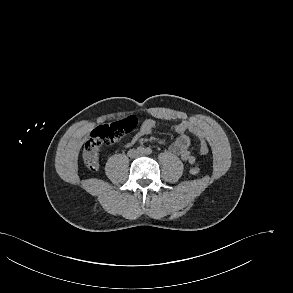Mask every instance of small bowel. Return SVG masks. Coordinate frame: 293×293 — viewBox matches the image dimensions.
<instances>
[{
  "mask_svg": "<svg viewBox=\"0 0 293 293\" xmlns=\"http://www.w3.org/2000/svg\"><path fill=\"white\" fill-rule=\"evenodd\" d=\"M157 123L153 119H147L143 122L139 132L129 138L126 145H132L139 140L140 137L151 134ZM172 130L181 133L182 136L176 140L170 147V151L179 156L184 162L188 164H196L197 159L191 154L189 148L192 144H195L201 155H205L208 152V147L205 141L203 131L196 126L193 122L182 121L179 124L172 127ZM195 138V142L193 141Z\"/></svg>",
  "mask_w": 293,
  "mask_h": 293,
  "instance_id": "1",
  "label": "small bowel"
}]
</instances>
